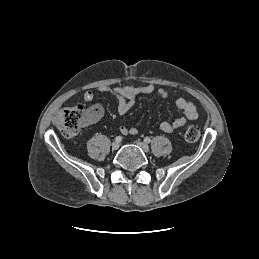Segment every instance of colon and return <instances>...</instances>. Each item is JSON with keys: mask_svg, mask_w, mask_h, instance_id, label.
I'll return each instance as SVG.
<instances>
[{"mask_svg": "<svg viewBox=\"0 0 259 259\" xmlns=\"http://www.w3.org/2000/svg\"><path fill=\"white\" fill-rule=\"evenodd\" d=\"M94 112L86 109L82 105L60 110L56 116L55 122L61 134L66 138H72L79 130L90 120H92ZM185 140L188 142H196L200 138V131L196 126H189L184 134Z\"/></svg>", "mask_w": 259, "mask_h": 259, "instance_id": "obj_1", "label": "colon"}]
</instances>
